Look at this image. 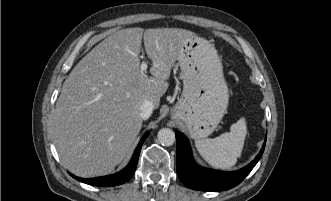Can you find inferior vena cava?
Returning a JSON list of instances; mask_svg holds the SVG:
<instances>
[{
  "instance_id": "obj_1",
  "label": "inferior vena cava",
  "mask_w": 331,
  "mask_h": 201,
  "mask_svg": "<svg viewBox=\"0 0 331 201\" xmlns=\"http://www.w3.org/2000/svg\"><path fill=\"white\" fill-rule=\"evenodd\" d=\"M154 105L150 100H144L140 106V117L143 120H147L152 114Z\"/></svg>"
}]
</instances>
